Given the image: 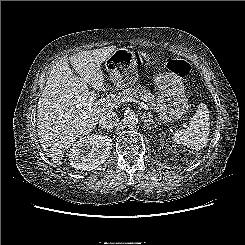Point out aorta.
<instances>
[{"label":"aorta","mask_w":245,"mask_h":245,"mask_svg":"<svg viewBox=\"0 0 245 245\" xmlns=\"http://www.w3.org/2000/svg\"><path fill=\"white\" fill-rule=\"evenodd\" d=\"M122 121L126 127H135L138 124V117L135 113L129 112L125 114Z\"/></svg>","instance_id":"762f6f07"}]
</instances>
